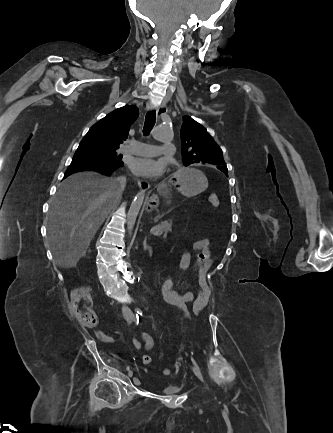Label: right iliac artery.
<instances>
[{
  "label": "right iliac artery",
  "instance_id": "obj_1",
  "mask_svg": "<svg viewBox=\"0 0 333 433\" xmlns=\"http://www.w3.org/2000/svg\"><path fill=\"white\" fill-rule=\"evenodd\" d=\"M136 316L138 317V315H136ZM126 369L129 370L130 369L129 366H127Z\"/></svg>",
  "mask_w": 333,
  "mask_h": 433
}]
</instances>
